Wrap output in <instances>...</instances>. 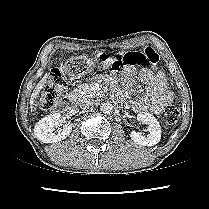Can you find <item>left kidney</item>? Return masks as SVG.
Returning <instances> with one entry per match:
<instances>
[{
  "label": "left kidney",
  "instance_id": "5707ae66",
  "mask_svg": "<svg viewBox=\"0 0 209 209\" xmlns=\"http://www.w3.org/2000/svg\"><path fill=\"white\" fill-rule=\"evenodd\" d=\"M137 120L148 125L150 134L145 137L139 132L132 131L130 134L131 139L137 144L144 146H154L159 143L161 139V127L157 119L152 114L140 112L137 115Z\"/></svg>",
  "mask_w": 209,
  "mask_h": 209
}]
</instances>
